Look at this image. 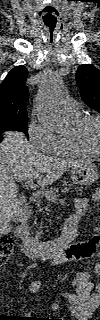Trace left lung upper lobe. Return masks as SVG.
I'll list each match as a JSON object with an SVG mask.
<instances>
[{"mask_svg": "<svg viewBox=\"0 0 100 320\" xmlns=\"http://www.w3.org/2000/svg\"><path fill=\"white\" fill-rule=\"evenodd\" d=\"M75 77L83 101L100 112V70L91 64H83L78 67Z\"/></svg>", "mask_w": 100, "mask_h": 320, "instance_id": "1", "label": "left lung upper lobe"}]
</instances>
